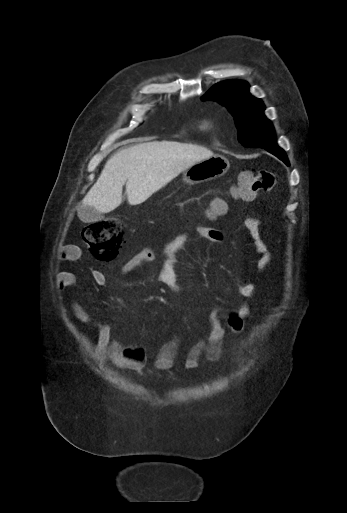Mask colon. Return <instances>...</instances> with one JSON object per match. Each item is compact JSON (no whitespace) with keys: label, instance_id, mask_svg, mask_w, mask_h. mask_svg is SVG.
I'll list each match as a JSON object with an SVG mask.
<instances>
[{"label":"colon","instance_id":"obj_1","mask_svg":"<svg viewBox=\"0 0 347 513\" xmlns=\"http://www.w3.org/2000/svg\"><path fill=\"white\" fill-rule=\"evenodd\" d=\"M276 174L271 171H244L239 174L231 193L241 200H253L259 192L274 187ZM227 212V203L216 197L208 206V217L216 219ZM83 238L95 256L102 261H110L116 257L124 243V229L120 219L116 217L90 223L83 228Z\"/></svg>","mask_w":347,"mask_h":513}]
</instances>
